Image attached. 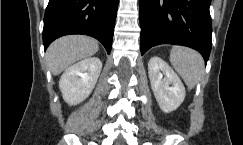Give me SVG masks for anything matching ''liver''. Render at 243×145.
Segmentation results:
<instances>
[{
  "mask_svg": "<svg viewBox=\"0 0 243 145\" xmlns=\"http://www.w3.org/2000/svg\"><path fill=\"white\" fill-rule=\"evenodd\" d=\"M99 49L96 40L83 35H70L54 41L46 52L49 68L58 75L73 63L94 55Z\"/></svg>",
  "mask_w": 243,
  "mask_h": 145,
  "instance_id": "1",
  "label": "liver"
}]
</instances>
